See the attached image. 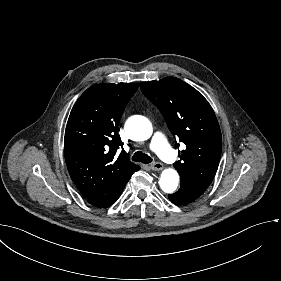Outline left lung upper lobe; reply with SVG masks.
Listing matches in <instances>:
<instances>
[{"mask_svg": "<svg viewBox=\"0 0 281 281\" xmlns=\"http://www.w3.org/2000/svg\"><path fill=\"white\" fill-rule=\"evenodd\" d=\"M140 88L160 110L170 131L185 144L180 161L174 164L181 185L203 194L216 174L222 150L213 109L196 89L178 78L142 82Z\"/></svg>", "mask_w": 281, "mask_h": 281, "instance_id": "5c2ea615", "label": "left lung upper lobe"}]
</instances>
